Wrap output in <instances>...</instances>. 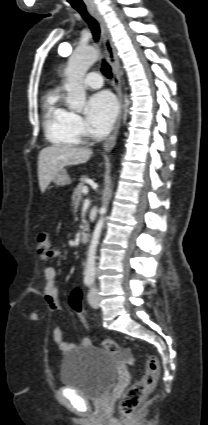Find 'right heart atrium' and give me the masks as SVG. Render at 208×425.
I'll use <instances>...</instances> for the list:
<instances>
[{
	"label": "right heart atrium",
	"mask_w": 208,
	"mask_h": 425,
	"mask_svg": "<svg viewBox=\"0 0 208 425\" xmlns=\"http://www.w3.org/2000/svg\"><path fill=\"white\" fill-rule=\"evenodd\" d=\"M72 128L75 134L81 138L85 135V126L82 118L79 115L73 114L71 120Z\"/></svg>",
	"instance_id": "obj_1"
}]
</instances>
